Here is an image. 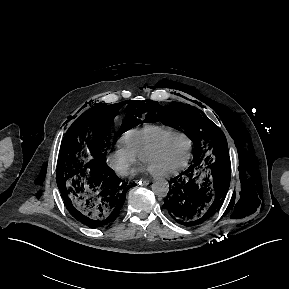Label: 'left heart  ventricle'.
Instances as JSON below:
<instances>
[{"label":"left heart ventricle","mask_w":289,"mask_h":289,"mask_svg":"<svg viewBox=\"0 0 289 289\" xmlns=\"http://www.w3.org/2000/svg\"><path fill=\"white\" fill-rule=\"evenodd\" d=\"M188 142L176 136L167 140L158 151L145 160L146 167L155 173H163L178 168L186 159Z\"/></svg>","instance_id":"left-heart-ventricle-1"}]
</instances>
